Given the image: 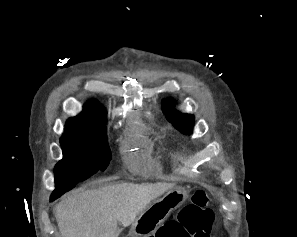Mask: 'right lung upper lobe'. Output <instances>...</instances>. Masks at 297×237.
I'll use <instances>...</instances> for the list:
<instances>
[{"label": "right lung upper lobe", "instance_id": "cb5924a9", "mask_svg": "<svg viewBox=\"0 0 297 237\" xmlns=\"http://www.w3.org/2000/svg\"><path fill=\"white\" fill-rule=\"evenodd\" d=\"M106 110L97 101L84 105V110L76 117L67 120L68 130H99L106 128Z\"/></svg>", "mask_w": 297, "mask_h": 237}]
</instances>
